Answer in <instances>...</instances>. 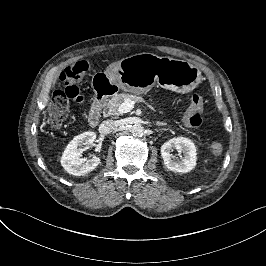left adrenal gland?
Returning a JSON list of instances; mask_svg holds the SVG:
<instances>
[{"instance_id": "obj_1", "label": "left adrenal gland", "mask_w": 266, "mask_h": 266, "mask_svg": "<svg viewBox=\"0 0 266 266\" xmlns=\"http://www.w3.org/2000/svg\"><path fill=\"white\" fill-rule=\"evenodd\" d=\"M157 127H167L168 125L166 123H156Z\"/></svg>"}]
</instances>
